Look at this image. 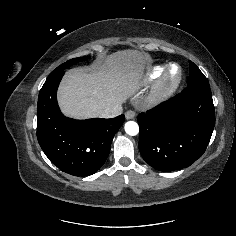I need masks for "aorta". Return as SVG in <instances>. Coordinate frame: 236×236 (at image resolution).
I'll return each instance as SVG.
<instances>
[{
	"instance_id": "762f6f07",
	"label": "aorta",
	"mask_w": 236,
	"mask_h": 236,
	"mask_svg": "<svg viewBox=\"0 0 236 236\" xmlns=\"http://www.w3.org/2000/svg\"><path fill=\"white\" fill-rule=\"evenodd\" d=\"M125 132L128 135L135 136L139 133V126L136 122L134 121H128L125 123L124 126Z\"/></svg>"
}]
</instances>
